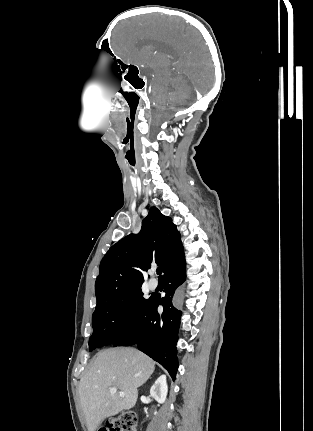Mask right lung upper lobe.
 Segmentation results:
<instances>
[{
  "label": "right lung upper lobe",
  "mask_w": 313,
  "mask_h": 431,
  "mask_svg": "<svg viewBox=\"0 0 313 431\" xmlns=\"http://www.w3.org/2000/svg\"><path fill=\"white\" fill-rule=\"evenodd\" d=\"M182 250L172 219L152 207L142 221L141 231L118 241L103 257L95 283L97 303L141 287L143 272L152 261L161 265L165 273Z\"/></svg>",
  "instance_id": "1"
}]
</instances>
